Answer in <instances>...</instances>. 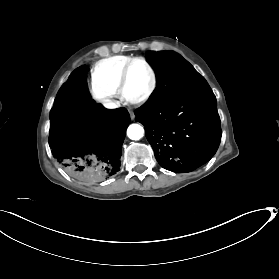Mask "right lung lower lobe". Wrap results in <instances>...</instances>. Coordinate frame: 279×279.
I'll return each instance as SVG.
<instances>
[{
    "mask_svg": "<svg viewBox=\"0 0 279 279\" xmlns=\"http://www.w3.org/2000/svg\"><path fill=\"white\" fill-rule=\"evenodd\" d=\"M86 72L87 67L81 66L59 90L51 110L49 145L70 176L98 182L120 170L130 116L126 108L106 109L95 103Z\"/></svg>",
    "mask_w": 279,
    "mask_h": 279,
    "instance_id": "right-lung-lower-lobe-1",
    "label": "right lung lower lobe"
}]
</instances>
